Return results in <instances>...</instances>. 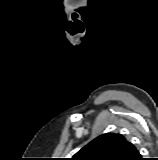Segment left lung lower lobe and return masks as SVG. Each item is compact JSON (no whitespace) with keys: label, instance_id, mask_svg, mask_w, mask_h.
<instances>
[{"label":"left lung lower lobe","instance_id":"0a47b994","mask_svg":"<svg viewBox=\"0 0 158 160\" xmlns=\"http://www.w3.org/2000/svg\"><path fill=\"white\" fill-rule=\"evenodd\" d=\"M131 160H143V159L141 158L140 153L136 150V153Z\"/></svg>","mask_w":158,"mask_h":160}]
</instances>
